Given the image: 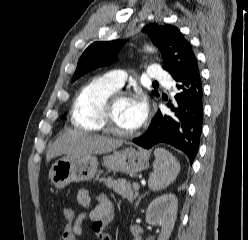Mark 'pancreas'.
Returning a JSON list of instances; mask_svg holds the SVG:
<instances>
[{"label":"pancreas","mask_w":248,"mask_h":240,"mask_svg":"<svg viewBox=\"0 0 248 240\" xmlns=\"http://www.w3.org/2000/svg\"><path fill=\"white\" fill-rule=\"evenodd\" d=\"M99 182H103L108 188H112L117 194L121 195L129 202H133L138 196V190L133 185L122 180H115L112 177L101 178Z\"/></svg>","instance_id":"obj_1"}]
</instances>
